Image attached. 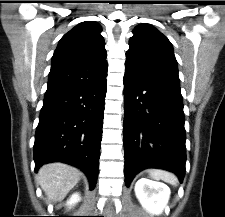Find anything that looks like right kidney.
<instances>
[{"mask_svg":"<svg viewBox=\"0 0 225 217\" xmlns=\"http://www.w3.org/2000/svg\"><path fill=\"white\" fill-rule=\"evenodd\" d=\"M79 201H80V197H79V195L76 193V194H73V195L70 197V199H69V201L67 202V204H68L69 206H72V205L78 203Z\"/></svg>","mask_w":225,"mask_h":217,"instance_id":"obj_1","label":"right kidney"}]
</instances>
